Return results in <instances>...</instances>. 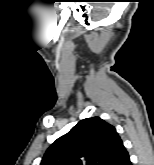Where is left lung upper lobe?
I'll return each mask as SVG.
<instances>
[{"instance_id": "left-lung-upper-lobe-1", "label": "left lung upper lobe", "mask_w": 154, "mask_h": 165, "mask_svg": "<svg viewBox=\"0 0 154 165\" xmlns=\"http://www.w3.org/2000/svg\"><path fill=\"white\" fill-rule=\"evenodd\" d=\"M123 147L112 125L86 118L48 148L40 165H116Z\"/></svg>"}]
</instances>
